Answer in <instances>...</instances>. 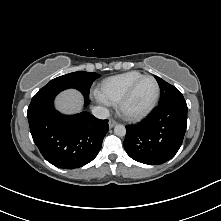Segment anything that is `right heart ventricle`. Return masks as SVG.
I'll return each instance as SVG.
<instances>
[{
    "mask_svg": "<svg viewBox=\"0 0 221 221\" xmlns=\"http://www.w3.org/2000/svg\"><path fill=\"white\" fill-rule=\"evenodd\" d=\"M143 74L129 71L105 79L98 88V96L107 103H118L128 88Z\"/></svg>",
    "mask_w": 221,
    "mask_h": 221,
    "instance_id": "1",
    "label": "right heart ventricle"
}]
</instances>
